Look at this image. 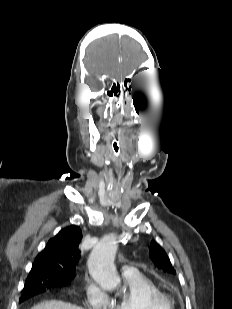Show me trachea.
I'll return each instance as SVG.
<instances>
[{
    "instance_id": "trachea-1",
    "label": "trachea",
    "mask_w": 232,
    "mask_h": 309,
    "mask_svg": "<svg viewBox=\"0 0 232 309\" xmlns=\"http://www.w3.org/2000/svg\"><path fill=\"white\" fill-rule=\"evenodd\" d=\"M111 149L116 159L119 160L120 153H121V147H120L118 140L115 137H112L111 139Z\"/></svg>"
}]
</instances>
